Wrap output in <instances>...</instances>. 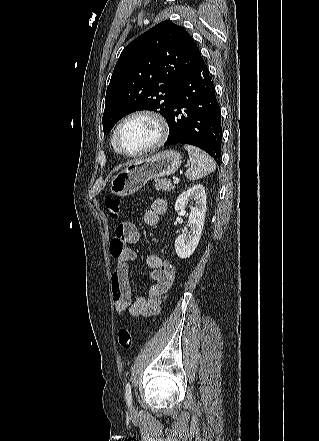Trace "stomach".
<instances>
[{
	"mask_svg": "<svg viewBox=\"0 0 319 441\" xmlns=\"http://www.w3.org/2000/svg\"><path fill=\"white\" fill-rule=\"evenodd\" d=\"M181 161L180 153L175 150H166L145 159H136L113 177L110 191L118 196L131 195L150 179L174 174L179 169Z\"/></svg>",
	"mask_w": 319,
	"mask_h": 441,
	"instance_id": "stomach-1",
	"label": "stomach"
}]
</instances>
